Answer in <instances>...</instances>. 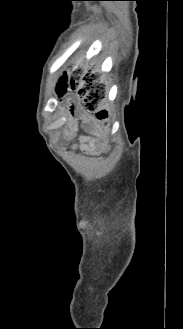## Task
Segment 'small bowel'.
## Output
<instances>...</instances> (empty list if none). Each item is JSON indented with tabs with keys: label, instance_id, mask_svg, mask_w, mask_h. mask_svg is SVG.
I'll use <instances>...</instances> for the list:
<instances>
[{
	"label": "small bowel",
	"instance_id": "c3829d8e",
	"mask_svg": "<svg viewBox=\"0 0 183 329\" xmlns=\"http://www.w3.org/2000/svg\"><path fill=\"white\" fill-rule=\"evenodd\" d=\"M76 132L75 123L73 120L68 121L67 123V134L69 136H74ZM80 146L82 149L97 154L101 150V145L97 135H94L89 140L81 139Z\"/></svg>",
	"mask_w": 183,
	"mask_h": 329
}]
</instances>
